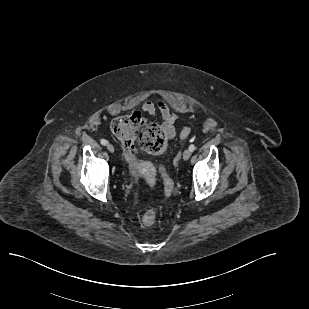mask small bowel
<instances>
[{"instance_id":"small-bowel-1","label":"small bowel","mask_w":309,"mask_h":309,"mask_svg":"<svg viewBox=\"0 0 309 309\" xmlns=\"http://www.w3.org/2000/svg\"><path fill=\"white\" fill-rule=\"evenodd\" d=\"M142 110L154 116L158 111L161 115V129L168 138H173L176 135L174 123L178 119V114L171 111L170 106L166 100H159L156 104L151 101H146L142 104ZM126 158L132 167L136 166V159L132 153H127Z\"/></svg>"}]
</instances>
